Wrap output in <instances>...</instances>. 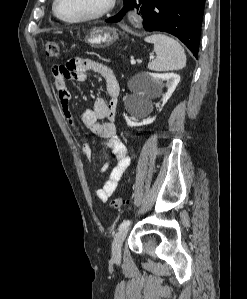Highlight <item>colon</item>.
I'll return each mask as SVG.
<instances>
[{
	"label": "colon",
	"instance_id": "obj_1",
	"mask_svg": "<svg viewBox=\"0 0 247 299\" xmlns=\"http://www.w3.org/2000/svg\"><path fill=\"white\" fill-rule=\"evenodd\" d=\"M44 53L49 58H57L59 56V45L55 40H48L44 44ZM129 204V201L122 197H116L112 201V206L121 209Z\"/></svg>",
	"mask_w": 247,
	"mask_h": 299
}]
</instances>
